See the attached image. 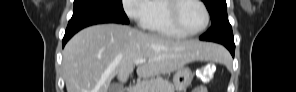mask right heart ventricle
I'll return each instance as SVG.
<instances>
[{
  "instance_id": "right-heart-ventricle-1",
  "label": "right heart ventricle",
  "mask_w": 296,
  "mask_h": 92,
  "mask_svg": "<svg viewBox=\"0 0 296 92\" xmlns=\"http://www.w3.org/2000/svg\"><path fill=\"white\" fill-rule=\"evenodd\" d=\"M170 1L154 0L150 1V12L148 19L143 24V27L156 34L167 36L170 38L185 37L171 25L168 19V8Z\"/></svg>"
}]
</instances>
